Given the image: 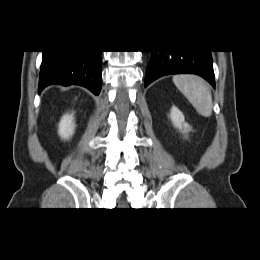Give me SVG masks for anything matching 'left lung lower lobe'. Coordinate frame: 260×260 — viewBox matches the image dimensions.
<instances>
[{"mask_svg":"<svg viewBox=\"0 0 260 260\" xmlns=\"http://www.w3.org/2000/svg\"><path fill=\"white\" fill-rule=\"evenodd\" d=\"M145 76V87L169 74H197L215 87L212 57L210 51H152Z\"/></svg>","mask_w":260,"mask_h":260,"instance_id":"left-lung-lower-lobe-1","label":"left lung lower lobe"}]
</instances>
